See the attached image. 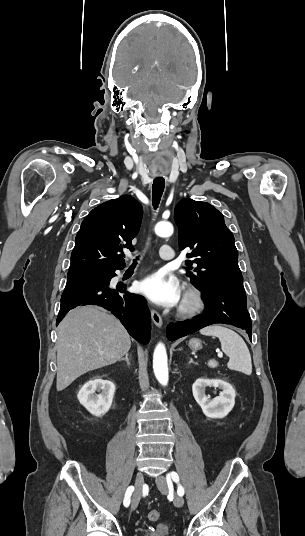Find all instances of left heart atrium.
<instances>
[{"mask_svg":"<svg viewBox=\"0 0 305 536\" xmlns=\"http://www.w3.org/2000/svg\"><path fill=\"white\" fill-rule=\"evenodd\" d=\"M138 291L150 301L163 305H175L180 300V290L177 282L167 280L160 273L152 274L137 285Z\"/></svg>","mask_w":305,"mask_h":536,"instance_id":"left-heart-atrium-1","label":"left heart atrium"}]
</instances>
